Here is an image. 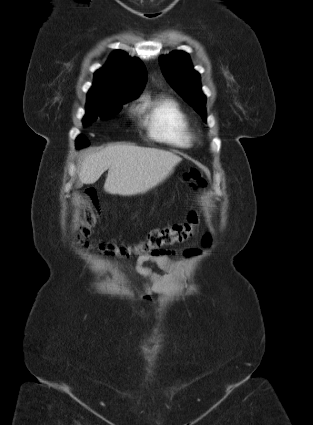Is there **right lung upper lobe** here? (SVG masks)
I'll return each mask as SVG.
<instances>
[{
    "instance_id": "obj_1",
    "label": "right lung upper lobe",
    "mask_w": 313,
    "mask_h": 425,
    "mask_svg": "<svg viewBox=\"0 0 313 425\" xmlns=\"http://www.w3.org/2000/svg\"><path fill=\"white\" fill-rule=\"evenodd\" d=\"M146 79V68L139 59L130 58L123 51H115L107 64L95 72L87 102L114 95L136 99L144 88Z\"/></svg>"
}]
</instances>
